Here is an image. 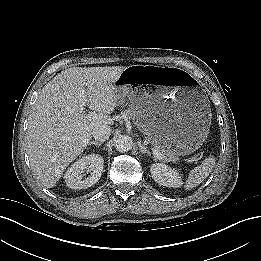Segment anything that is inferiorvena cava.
<instances>
[{
	"label": "inferior vena cava",
	"mask_w": 261,
	"mask_h": 261,
	"mask_svg": "<svg viewBox=\"0 0 261 261\" xmlns=\"http://www.w3.org/2000/svg\"><path fill=\"white\" fill-rule=\"evenodd\" d=\"M111 134V128L108 125H101L94 129L92 135L96 141L104 142L109 139Z\"/></svg>",
	"instance_id": "inferior-vena-cava-1"
}]
</instances>
